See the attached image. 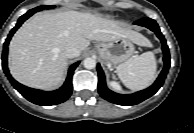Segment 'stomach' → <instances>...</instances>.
Segmentation results:
<instances>
[{"instance_id":"obj_1","label":"stomach","mask_w":194,"mask_h":133,"mask_svg":"<svg viewBox=\"0 0 194 133\" xmlns=\"http://www.w3.org/2000/svg\"><path fill=\"white\" fill-rule=\"evenodd\" d=\"M96 49L103 61L109 66H115L133 56L135 48L128 38H119L111 42L98 43Z\"/></svg>"}]
</instances>
